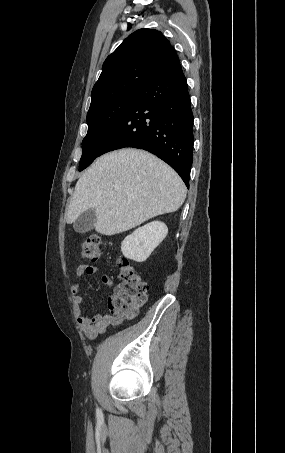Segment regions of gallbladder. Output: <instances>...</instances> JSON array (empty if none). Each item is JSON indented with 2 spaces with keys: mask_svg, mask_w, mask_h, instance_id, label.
I'll use <instances>...</instances> for the list:
<instances>
[{
  "mask_svg": "<svg viewBox=\"0 0 285 453\" xmlns=\"http://www.w3.org/2000/svg\"><path fill=\"white\" fill-rule=\"evenodd\" d=\"M95 222L96 212L93 208H90L75 220L73 228L78 233H85L93 229Z\"/></svg>",
  "mask_w": 285,
  "mask_h": 453,
  "instance_id": "bac80fb5",
  "label": "gallbladder"
}]
</instances>
